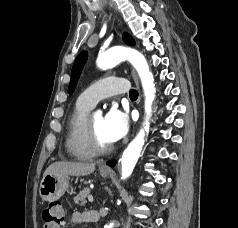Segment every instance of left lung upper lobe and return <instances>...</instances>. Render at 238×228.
Listing matches in <instances>:
<instances>
[{
    "mask_svg": "<svg viewBox=\"0 0 238 228\" xmlns=\"http://www.w3.org/2000/svg\"><path fill=\"white\" fill-rule=\"evenodd\" d=\"M123 40L128 45H134L135 44L133 38L130 37L127 33H125L123 35ZM87 57H88V53L86 51H83L77 56V58L74 62L72 72H71V80H70V84H69V88H68V93L69 94H72L75 87H76V84H77L78 79L80 77L81 71H82V69H83V67L86 63Z\"/></svg>",
    "mask_w": 238,
    "mask_h": 228,
    "instance_id": "5c2ea615",
    "label": "left lung upper lobe"
}]
</instances>
